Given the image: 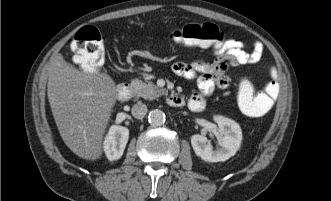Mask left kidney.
Wrapping results in <instances>:
<instances>
[{
  "label": "left kidney",
  "mask_w": 331,
  "mask_h": 201,
  "mask_svg": "<svg viewBox=\"0 0 331 201\" xmlns=\"http://www.w3.org/2000/svg\"><path fill=\"white\" fill-rule=\"evenodd\" d=\"M218 124V138L220 148L214 150L205 136L195 134L191 137V144L195 154L207 162H223L234 156L242 141L240 126L233 120L215 116Z\"/></svg>",
  "instance_id": "1"
}]
</instances>
